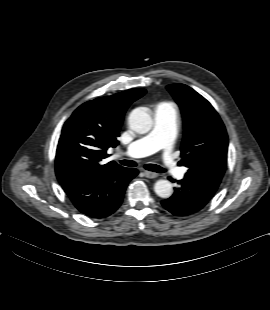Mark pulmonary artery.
Returning <instances> with one entry per match:
<instances>
[{
	"instance_id": "e3ab8cb5",
	"label": "pulmonary artery",
	"mask_w": 270,
	"mask_h": 310,
	"mask_svg": "<svg viewBox=\"0 0 270 310\" xmlns=\"http://www.w3.org/2000/svg\"><path fill=\"white\" fill-rule=\"evenodd\" d=\"M177 132V111L169 103H160L155 108L154 124L151 131L135 140L126 148V155L130 157H144L158 150L166 151L163 163L167 170L183 178L184 170L176 166L171 149Z\"/></svg>"
}]
</instances>
